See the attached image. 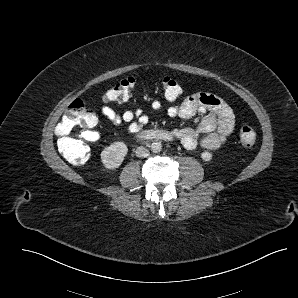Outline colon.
Segmentation results:
<instances>
[{"mask_svg": "<svg viewBox=\"0 0 298 298\" xmlns=\"http://www.w3.org/2000/svg\"><path fill=\"white\" fill-rule=\"evenodd\" d=\"M162 92L169 101L177 100L183 93L179 82L169 76L162 79ZM136 80L126 77L115 83L105 94L107 101L122 103L127 101L133 93ZM97 118L91 113L83 99L77 98L66 109L55 132L58 136L60 151L74 164L85 163L90 156L87 144L98 139L96 131ZM240 142L245 147H253L256 142V132L248 124L240 127Z\"/></svg>", "mask_w": 298, "mask_h": 298, "instance_id": "obj_1", "label": "colon"}]
</instances>
